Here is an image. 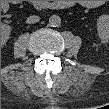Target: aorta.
Here are the masks:
<instances>
[{
  "label": "aorta",
  "mask_w": 109,
  "mask_h": 109,
  "mask_svg": "<svg viewBox=\"0 0 109 109\" xmlns=\"http://www.w3.org/2000/svg\"><path fill=\"white\" fill-rule=\"evenodd\" d=\"M49 24L52 27H58L61 24V18L58 15H51L49 18Z\"/></svg>",
  "instance_id": "aorta-1"
}]
</instances>
